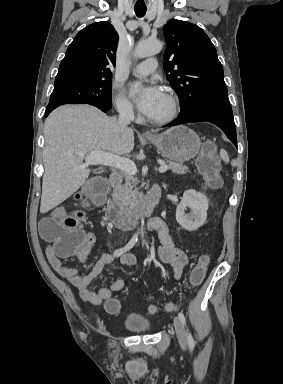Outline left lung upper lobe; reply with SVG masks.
Segmentation results:
<instances>
[{
  "mask_svg": "<svg viewBox=\"0 0 283 384\" xmlns=\"http://www.w3.org/2000/svg\"><path fill=\"white\" fill-rule=\"evenodd\" d=\"M163 31L164 70L179 96V115L205 106L230 105L223 68L206 33L181 20H170Z\"/></svg>",
  "mask_w": 283,
  "mask_h": 384,
  "instance_id": "1",
  "label": "left lung upper lobe"
}]
</instances>
